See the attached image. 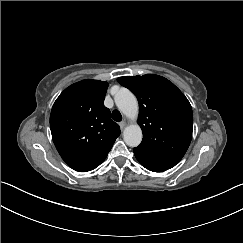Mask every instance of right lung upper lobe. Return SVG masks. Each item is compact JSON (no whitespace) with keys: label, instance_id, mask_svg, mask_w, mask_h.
I'll list each match as a JSON object with an SVG mask.
<instances>
[{"label":"right lung upper lobe","instance_id":"obj_1","mask_svg":"<svg viewBox=\"0 0 243 243\" xmlns=\"http://www.w3.org/2000/svg\"><path fill=\"white\" fill-rule=\"evenodd\" d=\"M108 83L83 80L66 88L50 115L53 142L62 159L76 171L95 169L106 158L120 127L104 106Z\"/></svg>","mask_w":243,"mask_h":243}]
</instances>
